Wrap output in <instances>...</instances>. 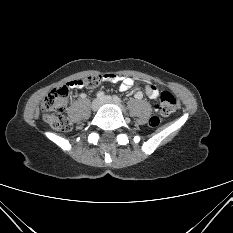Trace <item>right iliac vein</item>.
I'll use <instances>...</instances> for the list:
<instances>
[{"label": "right iliac vein", "mask_w": 233, "mask_h": 233, "mask_svg": "<svg viewBox=\"0 0 233 233\" xmlns=\"http://www.w3.org/2000/svg\"><path fill=\"white\" fill-rule=\"evenodd\" d=\"M102 102L100 99H95L93 102H92V110L93 111H97L99 109V107L101 106Z\"/></svg>", "instance_id": "right-iliac-vein-1"}]
</instances>
